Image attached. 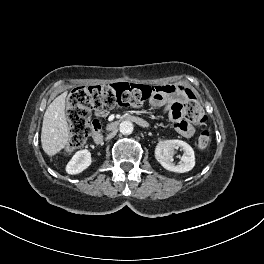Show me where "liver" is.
<instances>
[{
  "mask_svg": "<svg viewBox=\"0 0 264 264\" xmlns=\"http://www.w3.org/2000/svg\"><path fill=\"white\" fill-rule=\"evenodd\" d=\"M67 92L56 97L48 106L42 124L41 144L44 152L53 156L68 143L69 129L65 115Z\"/></svg>",
  "mask_w": 264,
  "mask_h": 264,
  "instance_id": "liver-1",
  "label": "liver"
}]
</instances>
